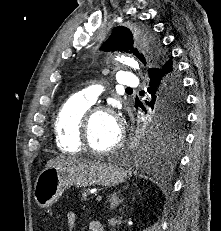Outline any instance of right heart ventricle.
<instances>
[{
    "instance_id": "1",
    "label": "right heart ventricle",
    "mask_w": 221,
    "mask_h": 231,
    "mask_svg": "<svg viewBox=\"0 0 221 231\" xmlns=\"http://www.w3.org/2000/svg\"><path fill=\"white\" fill-rule=\"evenodd\" d=\"M90 107L91 104L88 102L72 96L59 109L54 121V133L56 145L61 152L76 154L82 151L79 125Z\"/></svg>"
}]
</instances>
